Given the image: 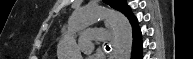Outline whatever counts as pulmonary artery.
Listing matches in <instances>:
<instances>
[{
    "label": "pulmonary artery",
    "mask_w": 193,
    "mask_h": 59,
    "mask_svg": "<svg viewBox=\"0 0 193 59\" xmlns=\"http://www.w3.org/2000/svg\"><path fill=\"white\" fill-rule=\"evenodd\" d=\"M93 38L104 41V34L101 29L97 27L84 28L79 38V45L82 49L92 52L94 50Z\"/></svg>",
    "instance_id": "1"
}]
</instances>
